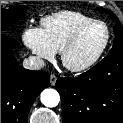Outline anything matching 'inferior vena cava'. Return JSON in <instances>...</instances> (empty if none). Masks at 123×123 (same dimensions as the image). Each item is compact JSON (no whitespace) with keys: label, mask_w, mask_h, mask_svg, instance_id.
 <instances>
[{"label":"inferior vena cava","mask_w":123,"mask_h":123,"mask_svg":"<svg viewBox=\"0 0 123 123\" xmlns=\"http://www.w3.org/2000/svg\"><path fill=\"white\" fill-rule=\"evenodd\" d=\"M25 69L40 70L44 66V61L38 56H30L23 61Z\"/></svg>","instance_id":"1"}]
</instances>
